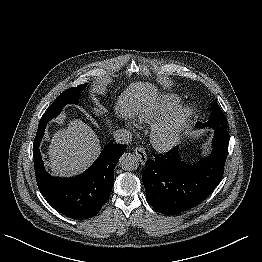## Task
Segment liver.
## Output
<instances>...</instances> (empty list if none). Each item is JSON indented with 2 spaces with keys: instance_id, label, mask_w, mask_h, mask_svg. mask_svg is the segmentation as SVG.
<instances>
[{
  "instance_id": "6515ba94",
  "label": "liver",
  "mask_w": 262,
  "mask_h": 262,
  "mask_svg": "<svg viewBox=\"0 0 262 262\" xmlns=\"http://www.w3.org/2000/svg\"><path fill=\"white\" fill-rule=\"evenodd\" d=\"M159 101L157 87L149 82H132L118 97L114 110L118 117L132 118L140 112L155 110ZM100 152V141L92 128L73 119L53 135L48 166L54 176H74L88 168Z\"/></svg>"
}]
</instances>
